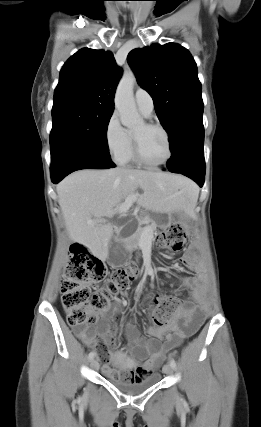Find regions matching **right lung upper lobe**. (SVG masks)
Listing matches in <instances>:
<instances>
[{"label":"right lung upper lobe","instance_id":"obj_1","mask_svg":"<svg viewBox=\"0 0 261 427\" xmlns=\"http://www.w3.org/2000/svg\"><path fill=\"white\" fill-rule=\"evenodd\" d=\"M121 74L111 52L79 50L60 71L53 109L89 106L114 110V94Z\"/></svg>","mask_w":261,"mask_h":427}]
</instances>
